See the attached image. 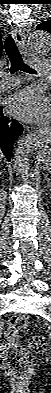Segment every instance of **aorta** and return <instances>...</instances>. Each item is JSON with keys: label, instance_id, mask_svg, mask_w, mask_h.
<instances>
[{"label": "aorta", "instance_id": "1", "mask_svg": "<svg viewBox=\"0 0 51 393\" xmlns=\"http://www.w3.org/2000/svg\"><path fill=\"white\" fill-rule=\"evenodd\" d=\"M28 45L35 53L48 55L51 50V37L45 31H34L27 38ZM49 128L40 129L23 139L15 150L14 165L19 173L26 174L29 170L28 154L32 148L43 147L50 142Z\"/></svg>", "mask_w": 51, "mask_h": 393}]
</instances>
